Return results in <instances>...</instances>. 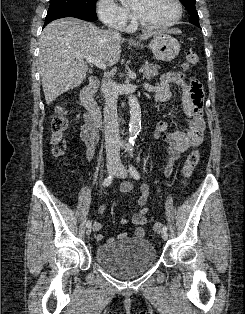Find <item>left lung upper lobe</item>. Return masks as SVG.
I'll list each match as a JSON object with an SVG mask.
<instances>
[{"instance_id": "obj_1", "label": "left lung upper lobe", "mask_w": 245, "mask_h": 314, "mask_svg": "<svg viewBox=\"0 0 245 314\" xmlns=\"http://www.w3.org/2000/svg\"><path fill=\"white\" fill-rule=\"evenodd\" d=\"M180 1L186 7L188 13L191 15L189 22L200 28L199 16L195 8V0H180Z\"/></svg>"}]
</instances>
